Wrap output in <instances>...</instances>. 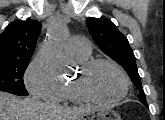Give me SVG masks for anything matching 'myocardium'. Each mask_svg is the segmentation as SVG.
<instances>
[{"mask_svg":"<svg viewBox=\"0 0 165 120\" xmlns=\"http://www.w3.org/2000/svg\"><path fill=\"white\" fill-rule=\"evenodd\" d=\"M102 64L112 66L119 72V74L122 77L123 90L118 96H116L114 98H110V99L97 98V97L93 96L86 87L87 77L90 74V72L94 68H96L97 66L102 65ZM72 87H73L75 94L81 101L108 105V104L117 103L126 97V95L128 94L129 88H130V81H129V77H128L126 71L116 61L108 59V58H94V59L87 60L84 63L80 64L79 70H78V75H77L76 79L72 82Z\"/></svg>","mask_w":165,"mask_h":120,"instance_id":"myocardium-1","label":"myocardium"}]
</instances>
